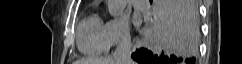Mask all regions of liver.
Listing matches in <instances>:
<instances>
[{"mask_svg":"<svg viewBox=\"0 0 242 64\" xmlns=\"http://www.w3.org/2000/svg\"><path fill=\"white\" fill-rule=\"evenodd\" d=\"M173 30L182 33L192 34L194 38L198 36V29L193 27L187 20L181 22L180 28ZM74 64H116L112 57L98 58V59H80ZM133 64V63H132Z\"/></svg>","mask_w":242,"mask_h":64,"instance_id":"liver-1","label":"liver"}]
</instances>
